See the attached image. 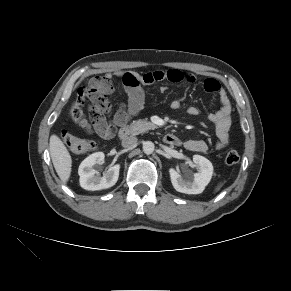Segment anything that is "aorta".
<instances>
[{
    "label": "aorta",
    "mask_w": 291,
    "mask_h": 291,
    "mask_svg": "<svg viewBox=\"0 0 291 291\" xmlns=\"http://www.w3.org/2000/svg\"><path fill=\"white\" fill-rule=\"evenodd\" d=\"M155 145L151 141H146L143 143V151L145 154H152L154 152Z\"/></svg>",
    "instance_id": "aorta-1"
}]
</instances>
